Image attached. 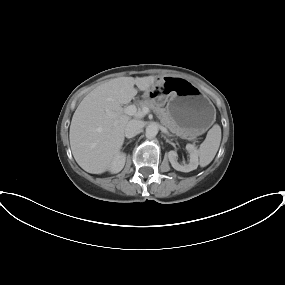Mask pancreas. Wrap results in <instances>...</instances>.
Here are the masks:
<instances>
[{"mask_svg": "<svg viewBox=\"0 0 285 285\" xmlns=\"http://www.w3.org/2000/svg\"><path fill=\"white\" fill-rule=\"evenodd\" d=\"M139 106L141 108L147 107L151 109L160 119L161 123L165 125L172 133L184 139H191V137H189L186 132H184L172 121L166 110L164 108H161L159 104L150 100H145L140 102Z\"/></svg>", "mask_w": 285, "mask_h": 285, "instance_id": "cf45deb5", "label": "pancreas"}]
</instances>
